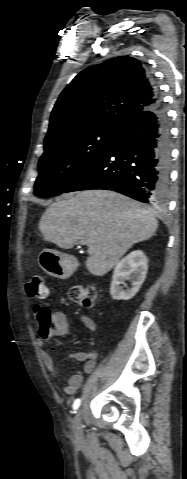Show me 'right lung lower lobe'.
I'll list each match as a JSON object with an SVG mask.
<instances>
[{
	"label": "right lung lower lobe",
	"mask_w": 187,
	"mask_h": 479,
	"mask_svg": "<svg viewBox=\"0 0 187 479\" xmlns=\"http://www.w3.org/2000/svg\"><path fill=\"white\" fill-rule=\"evenodd\" d=\"M150 81L156 87L151 77ZM170 163L169 121L159 96L154 106L120 129L107 150L65 192L106 189L144 203H163L169 191Z\"/></svg>",
	"instance_id": "right-lung-lower-lobe-1"
}]
</instances>
